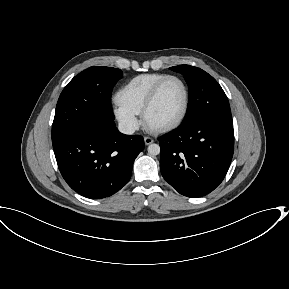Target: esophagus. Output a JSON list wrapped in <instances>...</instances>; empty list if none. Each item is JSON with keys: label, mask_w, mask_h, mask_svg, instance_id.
<instances>
[{"label": "esophagus", "mask_w": 289, "mask_h": 289, "mask_svg": "<svg viewBox=\"0 0 289 289\" xmlns=\"http://www.w3.org/2000/svg\"><path fill=\"white\" fill-rule=\"evenodd\" d=\"M153 142H154V140L151 137H144V143L146 145H150Z\"/></svg>", "instance_id": "esophagus-1"}]
</instances>
